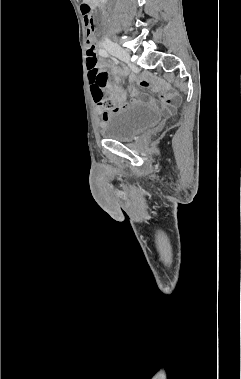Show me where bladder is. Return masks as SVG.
Returning <instances> with one entry per match:
<instances>
[{"instance_id": "31cf9c89", "label": "bladder", "mask_w": 241, "mask_h": 379, "mask_svg": "<svg viewBox=\"0 0 241 379\" xmlns=\"http://www.w3.org/2000/svg\"><path fill=\"white\" fill-rule=\"evenodd\" d=\"M162 114L149 106H134L111 113L101 124L106 139L129 142L160 122Z\"/></svg>"}]
</instances>
